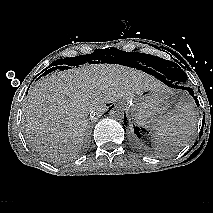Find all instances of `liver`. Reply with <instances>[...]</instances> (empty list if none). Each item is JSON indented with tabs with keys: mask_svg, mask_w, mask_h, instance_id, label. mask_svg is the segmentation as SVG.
<instances>
[{
	"mask_svg": "<svg viewBox=\"0 0 213 213\" xmlns=\"http://www.w3.org/2000/svg\"><path fill=\"white\" fill-rule=\"evenodd\" d=\"M163 88L152 75L118 64H87L40 78L23 104L26 139L51 158L78 152L89 113H103L106 104Z\"/></svg>",
	"mask_w": 213,
	"mask_h": 213,
	"instance_id": "liver-1",
	"label": "liver"
}]
</instances>
